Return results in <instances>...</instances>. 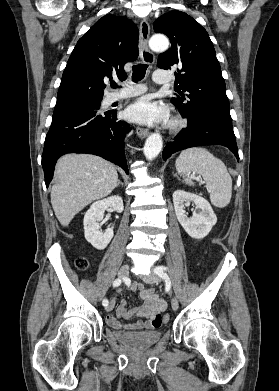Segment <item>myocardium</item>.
<instances>
[{"label":"myocardium","mask_w":279,"mask_h":391,"mask_svg":"<svg viewBox=\"0 0 279 391\" xmlns=\"http://www.w3.org/2000/svg\"><path fill=\"white\" fill-rule=\"evenodd\" d=\"M186 122L180 117H174L169 123V128L172 132L181 130L185 126Z\"/></svg>","instance_id":"f54148a6"}]
</instances>
